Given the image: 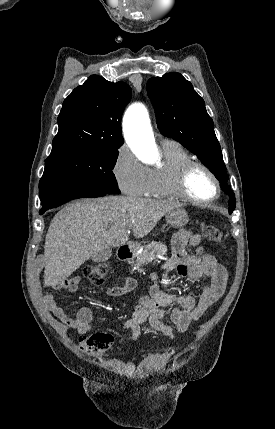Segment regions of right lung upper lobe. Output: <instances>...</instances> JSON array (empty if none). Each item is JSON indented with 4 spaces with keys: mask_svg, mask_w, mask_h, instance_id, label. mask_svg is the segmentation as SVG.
I'll return each mask as SVG.
<instances>
[{
    "mask_svg": "<svg viewBox=\"0 0 275 429\" xmlns=\"http://www.w3.org/2000/svg\"><path fill=\"white\" fill-rule=\"evenodd\" d=\"M130 98L131 89L126 83L90 76L64 100L52 151L119 148L124 142L122 113Z\"/></svg>",
    "mask_w": 275,
    "mask_h": 429,
    "instance_id": "right-lung-upper-lobe-1",
    "label": "right lung upper lobe"
}]
</instances>
